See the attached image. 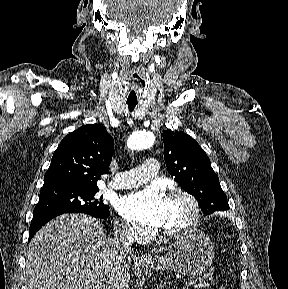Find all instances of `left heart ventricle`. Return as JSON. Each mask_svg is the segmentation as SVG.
<instances>
[{"label": "left heart ventricle", "instance_id": "obj_1", "mask_svg": "<svg viewBox=\"0 0 288 289\" xmlns=\"http://www.w3.org/2000/svg\"><path fill=\"white\" fill-rule=\"evenodd\" d=\"M190 218V209L183 200L166 199L165 221L161 225L163 230H178L185 227Z\"/></svg>", "mask_w": 288, "mask_h": 289}]
</instances>
